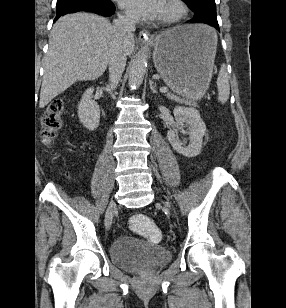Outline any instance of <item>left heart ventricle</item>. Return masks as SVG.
Segmentation results:
<instances>
[{"label": "left heart ventricle", "mask_w": 286, "mask_h": 308, "mask_svg": "<svg viewBox=\"0 0 286 308\" xmlns=\"http://www.w3.org/2000/svg\"><path fill=\"white\" fill-rule=\"evenodd\" d=\"M172 13L173 9L167 3L163 2L160 18L171 15Z\"/></svg>", "instance_id": "b2bd125f"}]
</instances>
